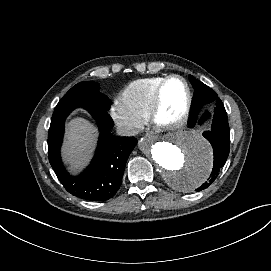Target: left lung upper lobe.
Returning a JSON list of instances; mask_svg holds the SVG:
<instances>
[{"label":"left lung upper lobe","instance_id":"left-lung-upper-lobe-1","mask_svg":"<svg viewBox=\"0 0 271 271\" xmlns=\"http://www.w3.org/2000/svg\"><path fill=\"white\" fill-rule=\"evenodd\" d=\"M189 80L194 88L191 114L198 113L203 105L219 100L218 95L214 90L194 78L192 75H189Z\"/></svg>","mask_w":271,"mask_h":271}]
</instances>
